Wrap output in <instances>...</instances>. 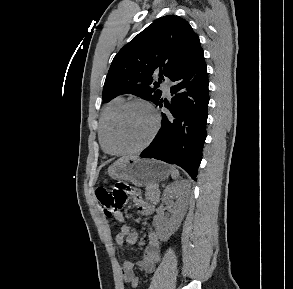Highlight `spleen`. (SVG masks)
Wrapping results in <instances>:
<instances>
[{"label":"spleen","instance_id":"3e777b00","mask_svg":"<svg viewBox=\"0 0 293 289\" xmlns=\"http://www.w3.org/2000/svg\"><path fill=\"white\" fill-rule=\"evenodd\" d=\"M171 176L172 178H177L179 176V171L174 166L171 167Z\"/></svg>","mask_w":293,"mask_h":289}]
</instances>
